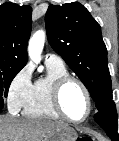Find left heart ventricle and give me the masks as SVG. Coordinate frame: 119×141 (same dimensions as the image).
<instances>
[{
    "label": "left heart ventricle",
    "mask_w": 119,
    "mask_h": 141,
    "mask_svg": "<svg viewBox=\"0 0 119 141\" xmlns=\"http://www.w3.org/2000/svg\"><path fill=\"white\" fill-rule=\"evenodd\" d=\"M61 102L64 112L72 119H82L86 114L87 100L76 83H70L64 88Z\"/></svg>",
    "instance_id": "left-heart-ventricle-1"
}]
</instances>
